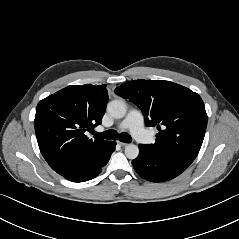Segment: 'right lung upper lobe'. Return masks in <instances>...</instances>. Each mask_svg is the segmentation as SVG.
<instances>
[{"label": "right lung upper lobe", "instance_id": "1", "mask_svg": "<svg viewBox=\"0 0 239 239\" xmlns=\"http://www.w3.org/2000/svg\"><path fill=\"white\" fill-rule=\"evenodd\" d=\"M107 100L106 85L87 84L68 86L38 103L34 120L38 145L57 173L72 159L95 157L109 142L86 135L101 124Z\"/></svg>", "mask_w": 239, "mask_h": 239}]
</instances>
